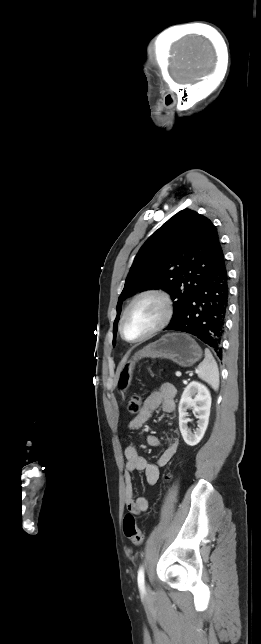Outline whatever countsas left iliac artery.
I'll return each mask as SVG.
<instances>
[{"label": "left iliac artery", "mask_w": 261, "mask_h": 644, "mask_svg": "<svg viewBox=\"0 0 261 644\" xmlns=\"http://www.w3.org/2000/svg\"><path fill=\"white\" fill-rule=\"evenodd\" d=\"M137 582H138V587H139L140 591L144 592L145 591V585H144V568H143V566H141L139 571H138Z\"/></svg>", "instance_id": "1"}]
</instances>
